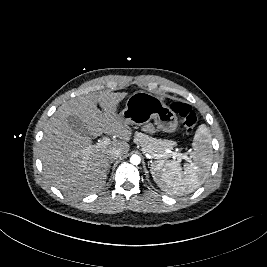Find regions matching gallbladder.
<instances>
[{"label":"gallbladder","instance_id":"obj_1","mask_svg":"<svg viewBox=\"0 0 267 267\" xmlns=\"http://www.w3.org/2000/svg\"><path fill=\"white\" fill-rule=\"evenodd\" d=\"M68 121L74 130L78 131L82 135H87V131L82 125L80 121H78L75 117H68Z\"/></svg>","mask_w":267,"mask_h":267}]
</instances>
